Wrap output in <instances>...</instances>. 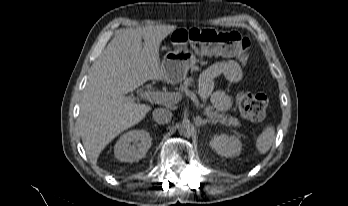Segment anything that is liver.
I'll list each match as a JSON object with an SVG mask.
<instances>
[{"instance_id": "6515ba94", "label": "liver", "mask_w": 348, "mask_h": 206, "mask_svg": "<svg viewBox=\"0 0 348 206\" xmlns=\"http://www.w3.org/2000/svg\"><path fill=\"white\" fill-rule=\"evenodd\" d=\"M175 30V25L126 29L110 41L92 66L81 103L79 131L93 164L115 137L151 110L126 95L147 80H165L159 47Z\"/></svg>"}]
</instances>
